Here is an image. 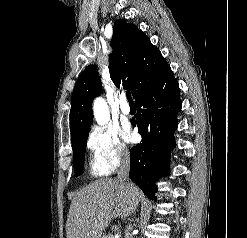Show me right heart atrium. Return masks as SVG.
<instances>
[{"label": "right heart atrium", "instance_id": "right-heart-atrium-1", "mask_svg": "<svg viewBox=\"0 0 247 238\" xmlns=\"http://www.w3.org/2000/svg\"><path fill=\"white\" fill-rule=\"evenodd\" d=\"M87 145L94 160L108 173L129 159V149L111 126H95L88 135Z\"/></svg>", "mask_w": 247, "mask_h": 238}]
</instances>
